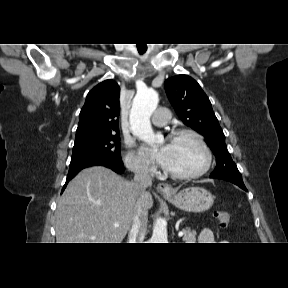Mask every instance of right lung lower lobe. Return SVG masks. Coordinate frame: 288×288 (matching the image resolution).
Returning a JSON list of instances; mask_svg holds the SVG:
<instances>
[{"instance_id":"1","label":"right lung lower lobe","mask_w":288,"mask_h":288,"mask_svg":"<svg viewBox=\"0 0 288 288\" xmlns=\"http://www.w3.org/2000/svg\"><path fill=\"white\" fill-rule=\"evenodd\" d=\"M94 165H101L105 166L107 168L112 169L116 173H122L124 171V166L123 164H116L113 163L107 159L104 158H90V159H85L80 162H76L73 164H70L69 172L67 175L66 183L63 187V190L65 189L67 183L83 168L89 167V166H94Z\"/></svg>"}]
</instances>
